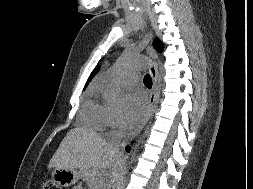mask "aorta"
I'll list each match as a JSON object with an SVG mask.
<instances>
[{
  "label": "aorta",
  "instance_id": "762f6f07",
  "mask_svg": "<svg viewBox=\"0 0 253 189\" xmlns=\"http://www.w3.org/2000/svg\"><path fill=\"white\" fill-rule=\"evenodd\" d=\"M148 62V58L141 56V57H131L128 55H123L118 60L115 65L114 72L116 75L123 73L127 70L136 68L140 69L143 68ZM104 100L105 103L112 108H119L123 105L124 102V95L119 87L118 81L116 77L110 79L104 86ZM139 143L133 146L131 152V160H133L137 149L139 147Z\"/></svg>",
  "mask_w": 253,
  "mask_h": 189
}]
</instances>
